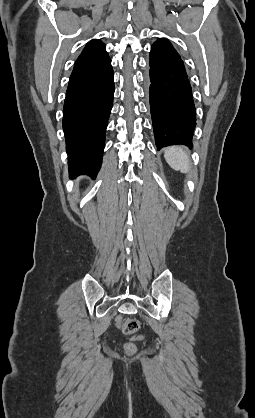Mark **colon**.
Returning a JSON list of instances; mask_svg holds the SVG:
<instances>
[{
    "label": "colon",
    "instance_id": "colon-1",
    "mask_svg": "<svg viewBox=\"0 0 255 418\" xmlns=\"http://www.w3.org/2000/svg\"><path fill=\"white\" fill-rule=\"evenodd\" d=\"M118 327L121 329L125 335H134L138 332L140 328V323L135 318L123 319L119 317L117 319ZM123 349L126 354L134 355L137 351L136 345L132 341H127L123 345Z\"/></svg>",
    "mask_w": 255,
    "mask_h": 418
}]
</instances>
